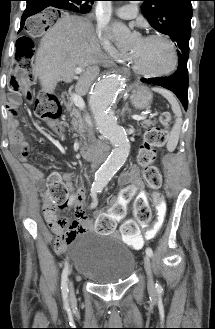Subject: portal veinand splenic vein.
<instances>
[{"mask_svg":"<svg viewBox=\"0 0 215 329\" xmlns=\"http://www.w3.org/2000/svg\"><path fill=\"white\" fill-rule=\"evenodd\" d=\"M83 71V68L81 67H77L75 69V73L76 74H79ZM71 100L73 101V103L80 109V110H83L85 108V102L84 100L82 99V97L76 93H72L71 95ZM146 118V116L144 115H133L132 116V119L133 120H137V121H140V120H144Z\"/></svg>","mask_w":215,"mask_h":329,"instance_id":"obj_1","label":"portal vein and splenic vein"}]
</instances>
